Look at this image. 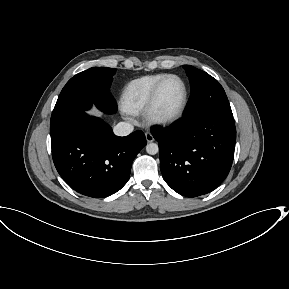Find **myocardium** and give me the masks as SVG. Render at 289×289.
<instances>
[{
	"label": "myocardium",
	"instance_id": "myocardium-1",
	"mask_svg": "<svg viewBox=\"0 0 289 289\" xmlns=\"http://www.w3.org/2000/svg\"><path fill=\"white\" fill-rule=\"evenodd\" d=\"M173 78L179 80L183 85V89H184L183 100L179 108L174 113L168 114V115H162L157 111V103H158L159 94L165 82ZM188 100H189V89H188V85L186 81L179 75L168 74L165 77H163L154 87L149 97V100L147 102V105L145 107L144 117L146 121L152 125H159V126L170 125L182 117L187 107Z\"/></svg>",
	"mask_w": 289,
	"mask_h": 289
}]
</instances>
